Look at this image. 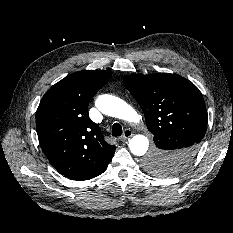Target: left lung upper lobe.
I'll use <instances>...</instances> for the list:
<instances>
[{
	"mask_svg": "<svg viewBox=\"0 0 233 233\" xmlns=\"http://www.w3.org/2000/svg\"><path fill=\"white\" fill-rule=\"evenodd\" d=\"M124 85L142 108L148 130L155 136L177 133L191 139L197 153L208 122L206 106L199 89L177 74H133ZM172 154L156 144L144 159V167L157 175L176 174L178 167L169 158Z\"/></svg>",
	"mask_w": 233,
	"mask_h": 233,
	"instance_id": "obj_1",
	"label": "left lung upper lobe"
}]
</instances>
